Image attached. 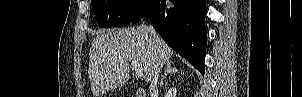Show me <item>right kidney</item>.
Masks as SVG:
<instances>
[{
	"instance_id": "ca27d5eb",
	"label": "right kidney",
	"mask_w": 302,
	"mask_h": 97,
	"mask_svg": "<svg viewBox=\"0 0 302 97\" xmlns=\"http://www.w3.org/2000/svg\"><path fill=\"white\" fill-rule=\"evenodd\" d=\"M176 88H171L170 90H168V93H167V97H176Z\"/></svg>"
}]
</instances>
